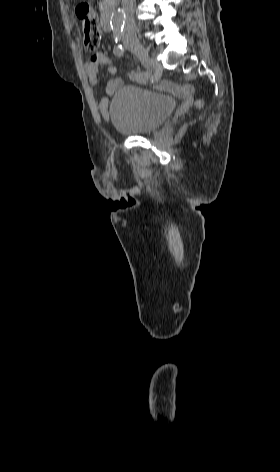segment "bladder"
<instances>
[{"label": "bladder", "instance_id": "1", "mask_svg": "<svg viewBox=\"0 0 280 472\" xmlns=\"http://www.w3.org/2000/svg\"><path fill=\"white\" fill-rule=\"evenodd\" d=\"M175 100L151 89L123 85L110 104V119L123 134L138 135L159 128L172 114Z\"/></svg>", "mask_w": 280, "mask_h": 472}]
</instances>
